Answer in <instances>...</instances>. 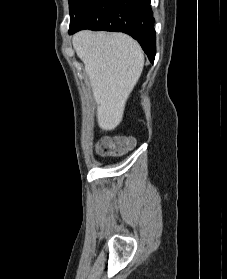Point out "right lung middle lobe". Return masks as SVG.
I'll return each instance as SVG.
<instances>
[{
  "instance_id": "right-lung-middle-lobe-1",
  "label": "right lung middle lobe",
  "mask_w": 227,
  "mask_h": 279,
  "mask_svg": "<svg viewBox=\"0 0 227 279\" xmlns=\"http://www.w3.org/2000/svg\"><path fill=\"white\" fill-rule=\"evenodd\" d=\"M89 0H69L70 26H72L78 17L80 11Z\"/></svg>"
}]
</instances>
